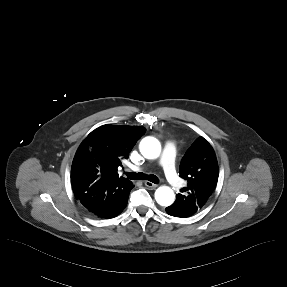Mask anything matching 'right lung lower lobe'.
Instances as JSON below:
<instances>
[{"mask_svg":"<svg viewBox=\"0 0 287 287\" xmlns=\"http://www.w3.org/2000/svg\"><path fill=\"white\" fill-rule=\"evenodd\" d=\"M132 182L113 180L94 182L88 188L81 204L93 215L100 218H113L126 207Z\"/></svg>","mask_w":287,"mask_h":287,"instance_id":"right-lung-lower-lobe-1","label":"right lung lower lobe"}]
</instances>
